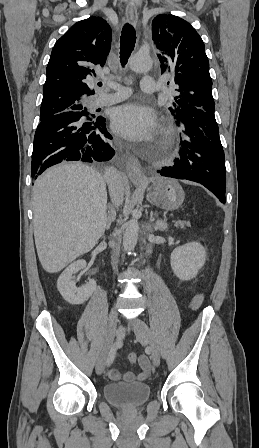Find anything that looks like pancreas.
I'll list each match as a JSON object with an SVG mask.
<instances>
[{"mask_svg":"<svg viewBox=\"0 0 259 448\" xmlns=\"http://www.w3.org/2000/svg\"><path fill=\"white\" fill-rule=\"evenodd\" d=\"M176 228H185V226H191L190 222H176Z\"/></svg>","mask_w":259,"mask_h":448,"instance_id":"obj_1","label":"pancreas"}]
</instances>
